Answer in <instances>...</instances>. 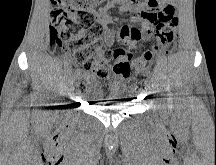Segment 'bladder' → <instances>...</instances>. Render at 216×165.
Masks as SVG:
<instances>
[{
    "mask_svg": "<svg viewBox=\"0 0 216 165\" xmlns=\"http://www.w3.org/2000/svg\"><path fill=\"white\" fill-rule=\"evenodd\" d=\"M86 77L88 79L85 82L83 95L89 100H105L98 102L99 106H103V111H118V108H126L130 104L128 101L121 100L125 82L118 79V76H107V81H96L89 75Z\"/></svg>",
    "mask_w": 216,
    "mask_h": 165,
    "instance_id": "bladder-1",
    "label": "bladder"
}]
</instances>
